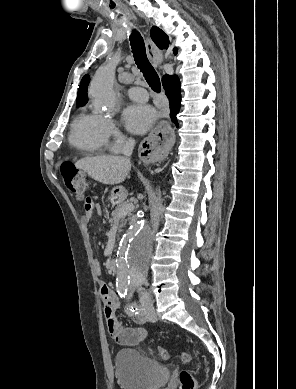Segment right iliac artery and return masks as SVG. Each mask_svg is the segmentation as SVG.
<instances>
[{"label": "right iliac artery", "instance_id": "right-iliac-artery-1", "mask_svg": "<svg viewBox=\"0 0 296 389\" xmlns=\"http://www.w3.org/2000/svg\"><path fill=\"white\" fill-rule=\"evenodd\" d=\"M118 293L121 297L125 298L127 296V288L126 287L119 288Z\"/></svg>", "mask_w": 296, "mask_h": 389}]
</instances>
